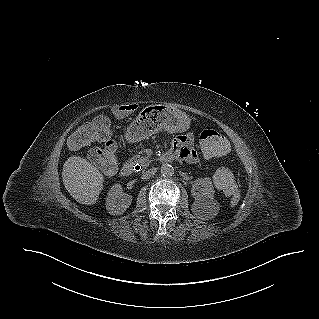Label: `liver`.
<instances>
[{
    "label": "liver",
    "instance_id": "obj_1",
    "mask_svg": "<svg viewBox=\"0 0 319 319\" xmlns=\"http://www.w3.org/2000/svg\"><path fill=\"white\" fill-rule=\"evenodd\" d=\"M62 179L66 190L79 203L95 204L103 189L104 177L84 157L71 156L64 165Z\"/></svg>",
    "mask_w": 319,
    "mask_h": 319
}]
</instances>
